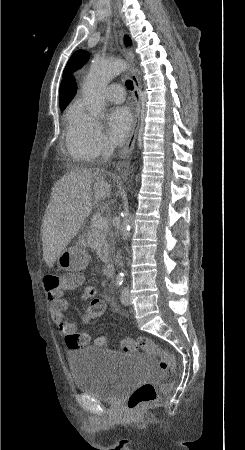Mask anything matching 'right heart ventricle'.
I'll list each match as a JSON object with an SVG mask.
<instances>
[{
    "label": "right heart ventricle",
    "instance_id": "right-heart-ventricle-1",
    "mask_svg": "<svg viewBox=\"0 0 245 450\" xmlns=\"http://www.w3.org/2000/svg\"><path fill=\"white\" fill-rule=\"evenodd\" d=\"M73 112V109L69 112L68 117L70 118L71 114Z\"/></svg>",
    "mask_w": 245,
    "mask_h": 450
}]
</instances>
